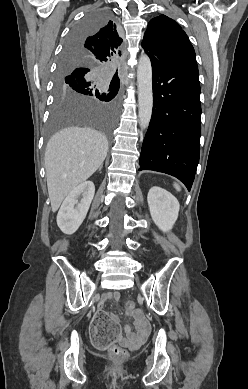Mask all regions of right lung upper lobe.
<instances>
[{
  "mask_svg": "<svg viewBox=\"0 0 248 389\" xmlns=\"http://www.w3.org/2000/svg\"><path fill=\"white\" fill-rule=\"evenodd\" d=\"M122 41L117 26L109 21L93 34L83 38L79 43H72L68 48H65L61 57L64 56L68 60L80 56L84 63L110 67L113 60L121 55ZM64 51H71V54L66 55ZM118 81L116 72L112 82Z\"/></svg>",
  "mask_w": 248,
  "mask_h": 389,
  "instance_id": "1",
  "label": "right lung upper lobe"
}]
</instances>
